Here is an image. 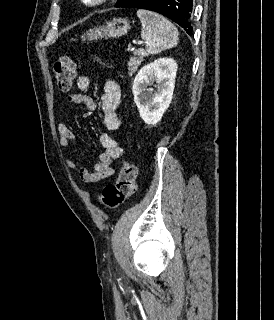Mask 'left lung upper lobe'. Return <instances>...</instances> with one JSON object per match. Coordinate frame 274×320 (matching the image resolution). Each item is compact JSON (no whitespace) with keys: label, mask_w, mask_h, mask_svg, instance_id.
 <instances>
[{"label":"left lung upper lobe","mask_w":274,"mask_h":320,"mask_svg":"<svg viewBox=\"0 0 274 320\" xmlns=\"http://www.w3.org/2000/svg\"><path fill=\"white\" fill-rule=\"evenodd\" d=\"M128 0H119L117 2V4L115 5V7H121L122 5H124Z\"/></svg>","instance_id":"1"}]
</instances>
